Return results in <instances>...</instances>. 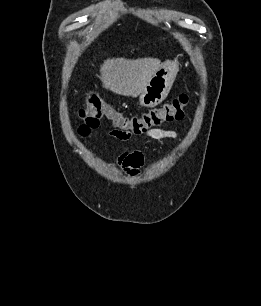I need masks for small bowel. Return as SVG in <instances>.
Instances as JSON below:
<instances>
[{
  "label": "small bowel",
  "instance_id": "obj_1",
  "mask_svg": "<svg viewBox=\"0 0 261 306\" xmlns=\"http://www.w3.org/2000/svg\"><path fill=\"white\" fill-rule=\"evenodd\" d=\"M111 135L115 138L123 139L120 138L114 131L111 132ZM145 137L152 138L155 140L176 139L177 132L174 130L156 128L148 131L145 134ZM117 163L126 174L132 177H136L139 175L140 169L144 165V156L141 150L139 149L126 151L119 155Z\"/></svg>",
  "mask_w": 261,
  "mask_h": 306
}]
</instances>
